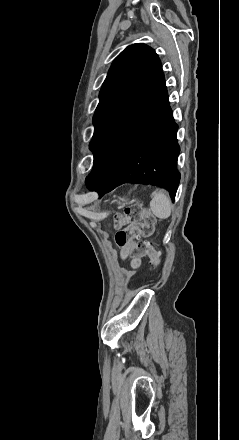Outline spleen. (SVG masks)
Segmentation results:
<instances>
[{
    "label": "spleen",
    "mask_w": 239,
    "mask_h": 440,
    "mask_svg": "<svg viewBox=\"0 0 239 440\" xmlns=\"http://www.w3.org/2000/svg\"><path fill=\"white\" fill-rule=\"evenodd\" d=\"M150 208L157 218L160 220H166L171 214V200L166 190H155L153 192V198L150 202Z\"/></svg>",
    "instance_id": "3e777b00"
}]
</instances>
